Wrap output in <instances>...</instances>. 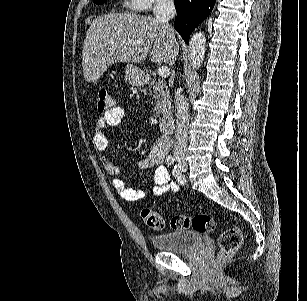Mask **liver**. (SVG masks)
Returning <instances> with one entry per match:
<instances>
[{
  "mask_svg": "<svg viewBox=\"0 0 307 301\" xmlns=\"http://www.w3.org/2000/svg\"><path fill=\"white\" fill-rule=\"evenodd\" d=\"M154 16L109 12L92 20L82 50L83 74L96 82L114 62H153L175 64L179 44L175 34Z\"/></svg>",
  "mask_w": 307,
  "mask_h": 301,
  "instance_id": "6515ba94",
  "label": "liver"
}]
</instances>
